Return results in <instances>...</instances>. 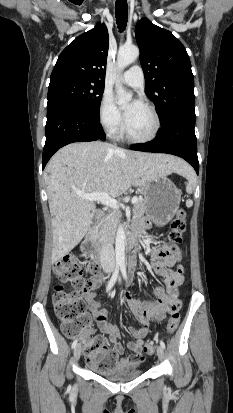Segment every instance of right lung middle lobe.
<instances>
[{
  "label": "right lung middle lobe",
  "mask_w": 233,
  "mask_h": 413,
  "mask_svg": "<svg viewBox=\"0 0 233 413\" xmlns=\"http://www.w3.org/2000/svg\"><path fill=\"white\" fill-rule=\"evenodd\" d=\"M104 84L68 78L50 82L48 88L47 108L53 106H70L99 118V106Z\"/></svg>",
  "instance_id": "dd1d6c3e"
}]
</instances>
